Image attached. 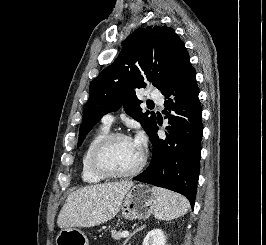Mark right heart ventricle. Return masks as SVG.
<instances>
[{
    "label": "right heart ventricle",
    "instance_id": "obj_1",
    "mask_svg": "<svg viewBox=\"0 0 266 245\" xmlns=\"http://www.w3.org/2000/svg\"><path fill=\"white\" fill-rule=\"evenodd\" d=\"M110 132V126L101 124L89 137L80 162V177L85 184L96 185L102 183L105 179L98 176L91 166V153L97 142Z\"/></svg>",
    "mask_w": 266,
    "mask_h": 245
}]
</instances>
